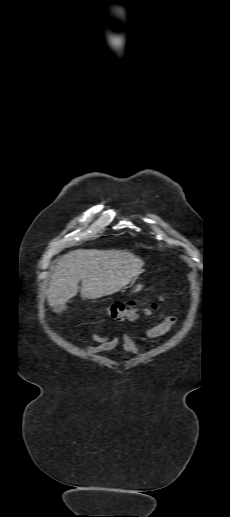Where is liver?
I'll list each match as a JSON object with an SVG mask.
<instances>
[{
  "label": "liver",
  "instance_id": "1",
  "mask_svg": "<svg viewBox=\"0 0 230 517\" xmlns=\"http://www.w3.org/2000/svg\"><path fill=\"white\" fill-rule=\"evenodd\" d=\"M143 261L126 250L78 249L56 264L47 294L51 306L65 304L74 297L82 281L81 296L98 299L114 294L135 278Z\"/></svg>",
  "mask_w": 230,
  "mask_h": 517
}]
</instances>
